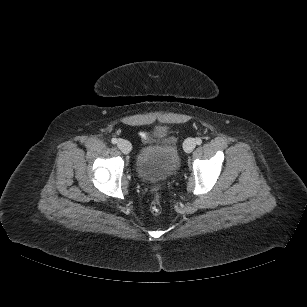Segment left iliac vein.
Listing matches in <instances>:
<instances>
[{
  "instance_id": "1",
  "label": "left iliac vein",
  "mask_w": 307,
  "mask_h": 307,
  "mask_svg": "<svg viewBox=\"0 0 307 307\" xmlns=\"http://www.w3.org/2000/svg\"><path fill=\"white\" fill-rule=\"evenodd\" d=\"M184 150L187 153H191L196 147V141L194 138H187L183 144Z\"/></svg>"
}]
</instances>
